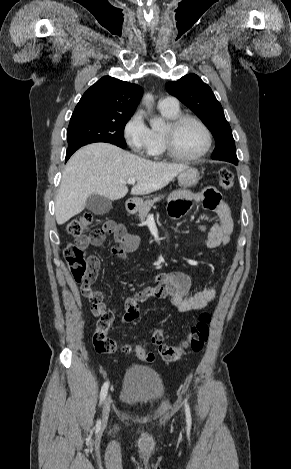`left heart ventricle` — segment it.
<instances>
[{
  "label": "left heart ventricle",
  "instance_id": "1",
  "mask_svg": "<svg viewBox=\"0 0 291 469\" xmlns=\"http://www.w3.org/2000/svg\"><path fill=\"white\" fill-rule=\"evenodd\" d=\"M176 151L185 157L195 156L205 145V135L202 129L192 121L181 124L173 135Z\"/></svg>",
  "mask_w": 291,
  "mask_h": 469
}]
</instances>
